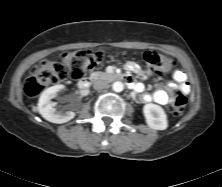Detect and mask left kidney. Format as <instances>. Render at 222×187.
I'll return each instance as SVG.
<instances>
[{
	"label": "left kidney",
	"instance_id": "1",
	"mask_svg": "<svg viewBox=\"0 0 222 187\" xmlns=\"http://www.w3.org/2000/svg\"><path fill=\"white\" fill-rule=\"evenodd\" d=\"M143 113L146 119V123L150 128L155 130L167 129V115L161 106L148 103L143 107Z\"/></svg>",
	"mask_w": 222,
	"mask_h": 187
}]
</instances>
